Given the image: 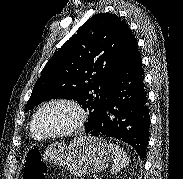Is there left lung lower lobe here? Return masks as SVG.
I'll return each instance as SVG.
<instances>
[{"instance_id": "1", "label": "left lung lower lobe", "mask_w": 183, "mask_h": 179, "mask_svg": "<svg viewBox=\"0 0 183 179\" xmlns=\"http://www.w3.org/2000/svg\"><path fill=\"white\" fill-rule=\"evenodd\" d=\"M150 110L141 55L130 31L95 124L86 133L116 138L131 145L142 159L149 141Z\"/></svg>"}]
</instances>
